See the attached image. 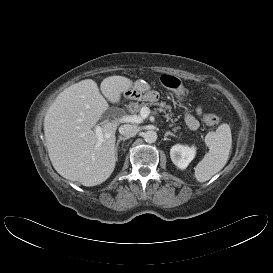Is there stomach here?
I'll return each instance as SVG.
<instances>
[{
  "mask_svg": "<svg viewBox=\"0 0 273 273\" xmlns=\"http://www.w3.org/2000/svg\"><path fill=\"white\" fill-rule=\"evenodd\" d=\"M126 97L135 100L155 101L156 93L150 90L148 84L136 83L133 89H128L124 92Z\"/></svg>",
  "mask_w": 273,
  "mask_h": 273,
  "instance_id": "obj_1",
  "label": "stomach"
}]
</instances>
